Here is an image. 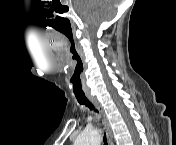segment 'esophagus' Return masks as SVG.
<instances>
[{
    "instance_id": "1",
    "label": "esophagus",
    "mask_w": 176,
    "mask_h": 145,
    "mask_svg": "<svg viewBox=\"0 0 176 145\" xmlns=\"http://www.w3.org/2000/svg\"><path fill=\"white\" fill-rule=\"evenodd\" d=\"M88 99L92 102V104L99 111V113L101 115L102 123H103V125L106 129V134H107V139H108L109 145H113V137H112L111 126H110V123L108 121V118L106 116V113H105L104 109L102 108L100 102L95 97L89 95Z\"/></svg>"
}]
</instances>
